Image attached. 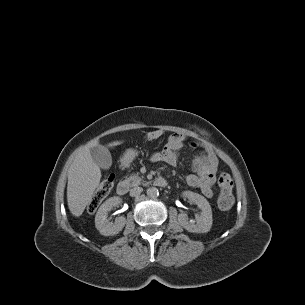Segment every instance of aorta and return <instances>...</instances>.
Instances as JSON below:
<instances>
[{"mask_svg": "<svg viewBox=\"0 0 305 305\" xmlns=\"http://www.w3.org/2000/svg\"><path fill=\"white\" fill-rule=\"evenodd\" d=\"M147 195L150 198H157L159 196V190L156 187H150L147 190Z\"/></svg>", "mask_w": 305, "mask_h": 305, "instance_id": "762f6f07", "label": "aorta"}]
</instances>
